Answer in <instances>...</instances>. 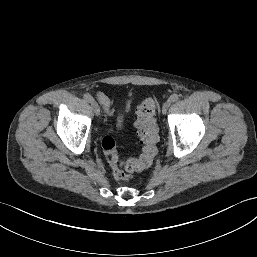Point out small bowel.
<instances>
[{
    "label": "small bowel",
    "mask_w": 257,
    "mask_h": 257,
    "mask_svg": "<svg viewBox=\"0 0 257 257\" xmlns=\"http://www.w3.org/2000/svg\"><path fill=\"white\" fill-rule=\"evenodd\" d=\"M96 97L100 101V103L102 104V107H103L104 111L108 115L112 116L114 114L115 110L111 106V102H110L109 97L105 93H103L101 91L96 92ZM129 106H130V103L127 102L125 104V109L128 110Z\"/></svg>",
    "instance_id": "obj_1"
}]
</instances>
